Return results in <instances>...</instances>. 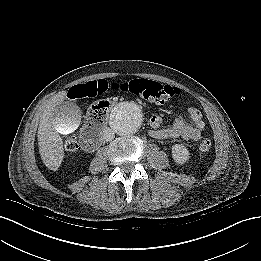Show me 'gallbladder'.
Segmentation results:
<instances>
[{
    "label": "gallbladder",
    "mask_w": 261,
    "mask_h": 261,
    "mask_svg": "<svg viewBox=\"0 0 261 261\" xmlns=\"http://www.w3.org/2000/svg\"><path fill=\"white\" fill-rule=\"evenodd\" d=\"M82 114L78 106L65 101L55 107L51 113V122L54 128L63 135L73 133L80 125Z\"/></svg>",
    "instance_id": "1"
}]
</instances>
